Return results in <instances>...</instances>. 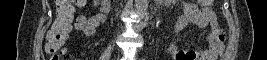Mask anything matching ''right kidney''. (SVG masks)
<instances>
[{"label": "right kidney", "instance_id": "right-kidney-1", "mask_svg": "<svg viewBox=\"0 0 267 60\" xmlns=\"http://www.w3.org/2000/svg\"><path fill=\"white\" fill-rule=\"evenodd\" d=\"M93 2H94V6H98L100 1L99 0H94Z\"/></svg>", "mask_w": 267, "mask_h": 60}]
</instances>
